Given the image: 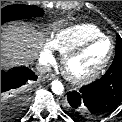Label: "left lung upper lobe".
Listing matches in <instances>:
<instances>
[{
    "label": "left lung upper lobe",
    "instance_id": "1",
    "mask_svg": "<svg viewBox=\"0 0 122 122\" xmlns=\"http://www.w3.org/2000/svg\"><path fill=\"white\" fill-rule=\"evenodd\" d=\"M122 60V38L118 35L116 40V53L114 61Z\"/></svg>",
    "mask_w": 122,
    "mask_h": 122
}]
</instances>
